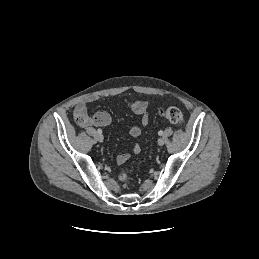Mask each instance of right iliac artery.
Listing matches in <instances>:
<instances>
[{
	"instance_id": "right-iliac-artery-1",
	"label": "right iliac artery",
	"mask_w": 259,
	"mask_h": 259,
	"mask_svg": "<svg viewBox=\"0 0 259 259\" xmlns=\"http://www.w3.org/2000/svg\"><path fill=\"white\" fill-rule=\"evenodd\" d=\"M97 132H98L99 134H101V133H102V130H101V129H98Z\"/></svg>"
}]
</instances>
